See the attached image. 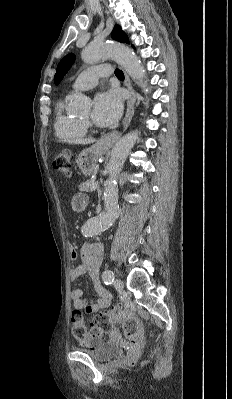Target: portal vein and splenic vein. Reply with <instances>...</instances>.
<instances>
[{
  "label": "portal vein and splenic vein",
  "instance_id": "portal-vein-and-splenic-vein-1",
  "mask_svg": "<svg viewBox=\"0 0 232 399\" xmlns=\"http://www.w3.org/2000/svg\"><path fill=\"white\" fill-rule=\"evenodd\" d=\"M97 186H98L97 182H95V184H92L89 192H94V190H96Z\"/></svg>",
  "mask_w": 232,
  "mask_h": 399
}]
</instances>
